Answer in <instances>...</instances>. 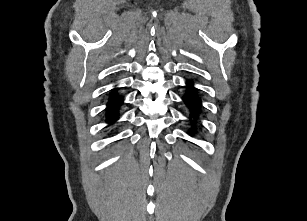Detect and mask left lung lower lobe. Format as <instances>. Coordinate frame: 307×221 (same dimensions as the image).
I'll use <instances>...</instances> for the list:
<instances>
[{"label": "left lung lower lobe", "mask_w": 307, "mask_h": 221, "mask_svg": "<svg viewBox=\"0 0 307 221\" xmlns=\"http://www.w3.org/2000/svg\"><path fill=\"white\" fill-rule=\"evenodd\" d=\"M186 105L190 108L193 116H198V109L201 106L200 98L196 95L192 86H188V92L183 98Z\"/></svg>", "instance_id": "obj_1"}]
</instances>
